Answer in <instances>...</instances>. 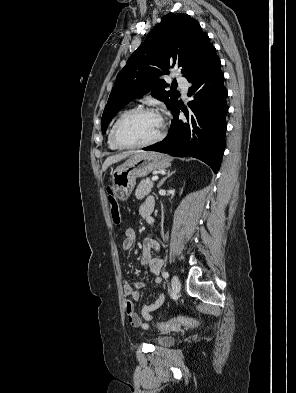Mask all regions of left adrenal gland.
Segmentation results:
<instances>
[{"label": "left adrenal gland", "mask_w": 296, "mask_h": 393, "mask_svg": "<svg viewBox=\"0 0 296 393\" xmlns=\"http://www.w3.org/2000/svg\"><path fill=\"white\" fill-rule=\"evenodd\" d=\"M175 173V171H172V172H170V171H168L167 172V174H166V176L160 181V183L158 184V188H160L163 184H164V182L171 176V175H173Z\"/></svg>", "instance_id": "left-adrenal-gland-1"}]
</instances>
